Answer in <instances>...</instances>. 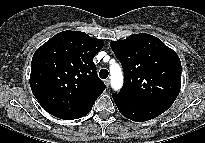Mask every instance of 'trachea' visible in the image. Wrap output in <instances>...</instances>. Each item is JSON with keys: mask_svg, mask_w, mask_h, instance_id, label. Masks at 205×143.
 Segmentation results:
<instances>
[{"mask_svg": "<svg viewBox=\"0 0 205 143\" xmlns=\"http://www.w3.org/2000/svg\"><path fill=\"white\" fill-rule=\"evenodd\" d=\"M108 75H109V72H108V70H106V69H102V70L99 72V76H100V78H102V79H106V78L108 77Z\"/></svg>", "mask_w": 205, "mask_h": 143, "instance_id": "trachea-1", "label": "trachea"}]
</instances>
